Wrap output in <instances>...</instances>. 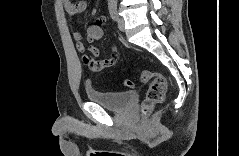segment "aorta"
Wrapping results in <instances>:
<instances>
[{
	"label": "aorta",
	"instance_id": "1",
	"mask_svg": "<svg viewBox=\"0 0 239 156\" xmlns=\"http://www.w3.org/2000/svg\"><path fill=\"white\" fill-rule=\"evenodd\" d=\"M117 0H108L109 5H116Z\"/></svg>",
	"mask_w": 239,
	"mask_h": 156
}]
</instances>
